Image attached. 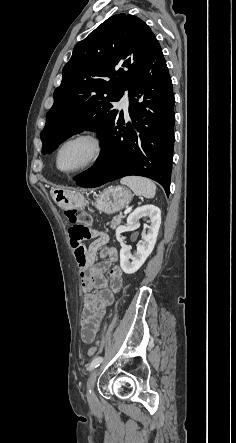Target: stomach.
I'll list each match as a JSON object with an SVG mask.
<instances>
[{
  "instance_id": "obj_1",
  "label": "stomach",
  "mask_w": 236,
  "mask_h": 443,
  "mask_svg": "<svg viewBox=\"0 0 236 443\" xmlns=\"http://www.w3.org/2000/svg\"><path fill=\"white\" fill-rule=\"evenodd\" d=\"M53 200L62 208L83 207L85 200L80 192L54 189ZM132 200V193L123 186H109L96 199L95 206L100 212L114 214L128 206Z\"/></svg>"
}]
</instances>
